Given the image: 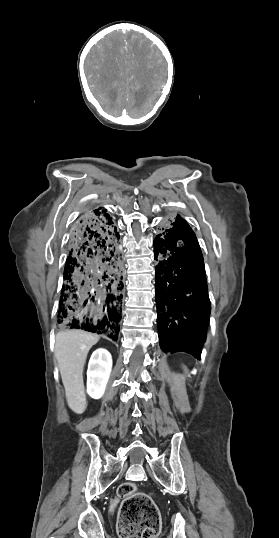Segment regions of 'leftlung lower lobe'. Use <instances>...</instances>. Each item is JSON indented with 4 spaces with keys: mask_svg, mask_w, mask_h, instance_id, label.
Here are the masks:
<instances>
[{
    "mask_svg": "<svg viewBox=\"0 0 279 538\" xmlns=\"http://www.w3.org/2000/svg\"><path fill=\"white\" fill-rule=\"evenodd\" d=\"M162 230L154 240L160 347L200 359L210 315L203 256L194 232L179 216Z\"/></svg>",
    "mask_w": 279,
    "mask_h": 538,
    "instance_id": "obj_1",
    "label": "left lung lower lobe"
}]
</instances>
